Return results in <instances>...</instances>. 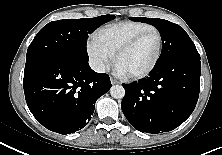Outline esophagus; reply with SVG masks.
Instances as JSON below:
<instances>
[{
	"instance_id": "1",
	"label": "esophagus",
	"mask_w": 222,
	"mask_h": 155,
	"mask_svg": "<svg viewBox=\"0 0 222 155\" xmlns=\"http://www.w3.org/2000/svg\"><path fill=\"white\" fill-rule=\"evenodd\" d=\"M111 83L114 85V84H118L119 82L115 78H111Z\"/></svg>"
}]
</instances>
